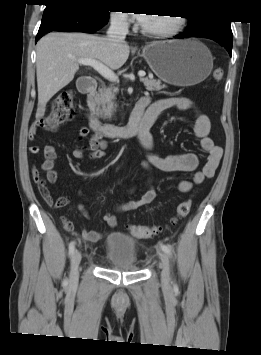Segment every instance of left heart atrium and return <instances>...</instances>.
I'll return each instance as SVG.
<instances>
[{"label": "left heart atrium", "instance_id": "1", "mask_svg": "<svg viewBox=\"0 0 261 355\" xmlns=\"http://www.w3.org/2000/svg\"><path fill=\"white\" fill-rule=\"evenodd\" d=\"M147 16H148V15H146V14H144V13H141V14H136V15H135V18H136V20H137L141 25H143V23L145 22Z\"/></svg>", "mask_w": 261, "mask_h": 355}]
</instances>
